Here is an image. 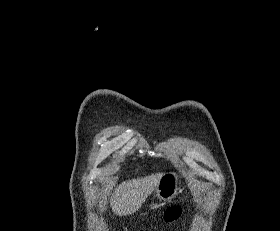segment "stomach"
I'll use <instances>...</instances> for the list:
<instances>
[{
    "label": "stomach",
    "mask_w": 280,
    "mask_h": 231,
    "mask_svg": "<svg viewBox=\"0 0 280 231\" xmlns=\"http://www.w3.org/2000/svg\"><path fill=\"white\" fill-rule=\"evenodd\" d=\"M179 173L168 171L160 177L158 185L155 187V193L163 201H172L178 193Z\"/></svg>",
    "instance_id": "1"
}]
</instances>
